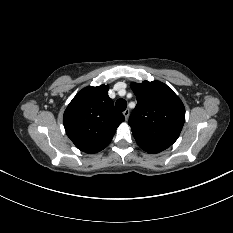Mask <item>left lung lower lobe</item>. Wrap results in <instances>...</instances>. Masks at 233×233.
<instances>
[{
	"label": "left lung lower lobe",
	"mask_w": 233,
	"mask_h": 233,
	"mask_svg": "<svg viewBox=\"0 0 233 233\" xmlns=\"http://www.w3.org/2000/svg\"><path fill=\"white\" fill-rule=\"evenodd\" d=\"M139 146L144 151L152 154V153H159V152L167 149L171 145L166 144V143H160V142H149V143H145V144H140Z\"/></svg>",
	"instance_id": "left-lung-lower-lobe-1"
}]
</instances>
